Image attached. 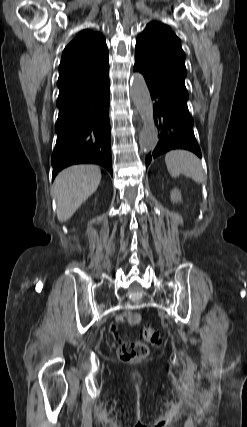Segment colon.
Wrapping results in <instances>:
<instances>
[{
  "label": "colon",
  "instance_id": "obj_1",
  "mask_svg": "<svg viewBox=\"0 0 247 427\" xmlns=\"http://www.w3.org/2000/svg\"><path fill=\"white\" fill-rule=\"evenodd\" d=\"M142 335L147 342L153 345H157L161 341L160 333L151 327H145ZM148 353L147 345L141 342L125 343L118 350L119 359L124 362L144 359Z\"/></svg>",
  "mask_w": 247,
  "mask_h": 427
}]
</instances>
